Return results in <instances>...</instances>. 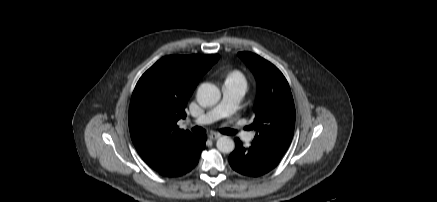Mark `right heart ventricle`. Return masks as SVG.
<instances>
[{"label":"right heart ventricle","instance_id":"right-heart-ventricle-1","mask_svg":"<svg viewBox=\"0 0 437 202\" xmlns=\"http://www.w3.org/2000/svg\"><path fill=\"white\" fill-rule=\"evenodd\" d=\"M228 78H239V79H242V76L239 73L234 72V73L230 74Z\"/></svg>","mask_w":437,"mask_h":202}]
</instances>
